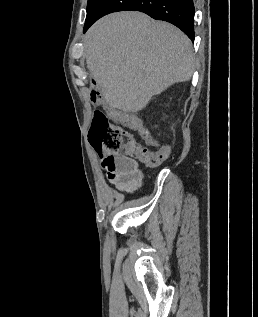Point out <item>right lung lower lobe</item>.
I'll return each mask as SVG.
<instances>
[{
    "label": "right lung lower lobe",
    "mask_w": 258,
    "mask_h": 317,
    "mask_svg": "<svg viewBox=\"0 0 258 317\" xmlns=\"http://www.w3.org/2000/svg\"><path fill=\"white\" fill-rule=\"evenodd\" d=\"M125 10L140 11L156 20L167 21L194 41L193 0H90L84 32L102 16Z\"/></svg>",
    "instance_id": "1"
}]
</instances>
